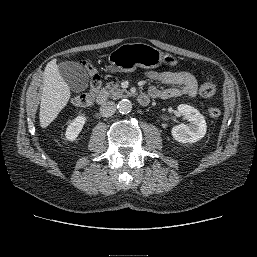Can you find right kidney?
<instances>
[{
  "mask_svg": "<svg viewBox=\"0 0 257 257\" xmlns=\"http://www.w3.org/2000/svg\"><path fill=\"white\" fill-rule=\"evenodd\" d=\"M86 123L85 116H77L66 128L65 137L69 141H74L82 131L84 124Z\"/></svg>",
  "mask_w": 257,
  "mask_h": 257,
  "instance_id": "ca27d5eb",
  "label": "right kidney"
}]
</instances>
